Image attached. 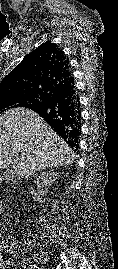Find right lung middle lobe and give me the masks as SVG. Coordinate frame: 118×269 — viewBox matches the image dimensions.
<instances>
[{
  "label": "right lung middle lobe",
  "mask_w": 118,
  "mask_h": 269,
  "mask_svg": "<svg viewBox=\"0 0 118 269\" xmlns=\"http://www.w3.org/2000/svg\"><path fill=\"white\" fill-rule=\"evenodd\" d=\"M37 104V100L32 97H3L0 99V114L10 108H30Z\"/></svg>",
  "instance_id": "1"
}]
</instances>
